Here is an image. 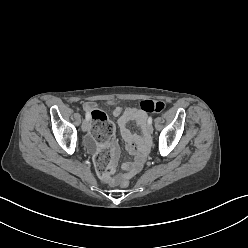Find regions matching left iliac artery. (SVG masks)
<instances>
[{"mask_svg":"<svg viewBox=\"0 0 248 248\" xmlns=\"http://www.w3.org/2000/svg\"><path fill=\"white\" fill-rule=\"evenodd\" d=\"M148 124H152V117H149Z\"/></svg>","mask_w":248,"mask_h":248,"instance_id":"44dca946","label":"left iliac artery"}]
</instances>
